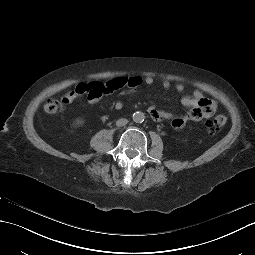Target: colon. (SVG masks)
<instances>
[{
    "instance_id": "colon-1",
    "label": "colon",
    "mask_w": 255,
    "mask_h": 255,
    "mask_svg": "<svg viewBox=\"0 0 255 255\" xmlns=\"http://www.w3.org/2000/svg\"><path fill=\"white\" fill-rule=\"evenodd\" d=\"M62 107V102L57 99H49L45 104V111L49 114L57 113ZM226 124L224 115H216L213 119L207 121L204 125L206 132L214 134Z\"/></svg>"
}]
</instances>
